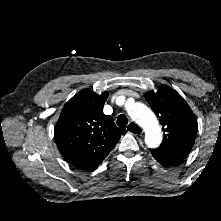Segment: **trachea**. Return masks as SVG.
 Segmentation results:
<instances>
[{"mask_svg": "<svg viewBox=\"0 0 221 221\" xmlns=\"http://www.w3.org/2000/svg\"><path fill=\"white\" fill-rule=\"evenodd\" d=\"M128 124V119L124 114H120L117 118V125L123 127Z\"/></svg>", "mask_w": 221, "mask_h": 221, "instance_id": "trachea-1", "label": "trachea"}]
</instances>
